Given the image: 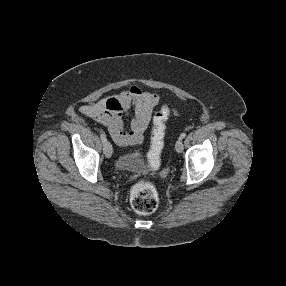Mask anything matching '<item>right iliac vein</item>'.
<instances>
[{"mask_svg": "<svg viewBox=\"0 0 286 286\" xmlns=\"http://www.w3.org/2000/svg\"><path fill=\"white\" fill-rule=\"evenodd\" d=\"M104 153L107 158H110L112 156V145L110 144V142L106 143Z\"/></svg>", "mask_w": 286, "mask_h": 286, "instance_id": "63e3f726", "label": "right iliac vein"}]
</instances>
